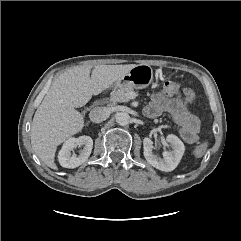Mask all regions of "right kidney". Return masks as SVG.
Here are the masks:
<instances>
[{
	"mask_svg": "<svg viewBox=\"0 0 241 241\" xmlns=\"http://www.w3.org/2000/svg\"><path fill=\"white\" fill-rule=\"evenodd\" d=\"M83 147L79 155H71V151L77 147ZM93 140L89 136H80L78 138H69L62 146L58 154V160L62 167L76 168L83 164L91 154Z\"/></svg>",
	"mask_w": 241,
	"mask_h": 241,
	"instance_id": "1",
	"label": "right kidney"
}]
</instances>
